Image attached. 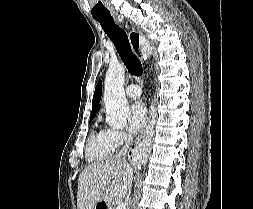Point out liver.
<instances>
[{"label":"liver","mask_w":253,"mask_h":209,"mask_svg":"<svg viewBox=\"0 0 253 209\" xmlns=\"http://www.w3.org/2000/svg\"><path fill=\"white\" fill-rule=\"evenodd\" d=\"M129 168L131 167L126 161L116 157L88 165L79 176L77 209H94L108 189L115 195L126 196L129 192ZM115 187L120 188L118 193L115 192Z\"/></svg>","instance_id":"1"}]
</instances>
